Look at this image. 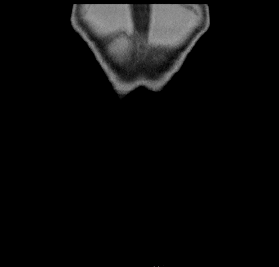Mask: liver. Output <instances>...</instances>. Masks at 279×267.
Returning a JSON list of instances; mask_svg holds the SVG:
<instances>
[{
	"label": "liver",
	"instance_id": "6515ba94",
	"mask_svg": "<svg viewBox=\"0 0 279 267\" xmlns=\"http://www.w3.org/2000/svg\"><path fill=\"white\" fill-rule=\"evenodd\" d=\"M175 41H176V38L172 36L171 31L168 32V35H167V42H168L169 44H173Z\"/></svg>",
	"mask_w": 279,
	"mask_h": 267
}]
</instances>
